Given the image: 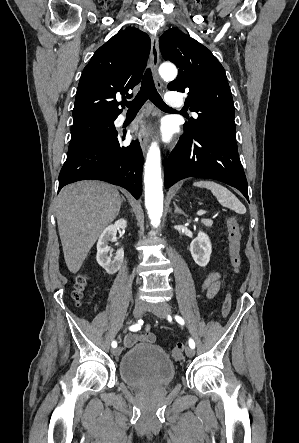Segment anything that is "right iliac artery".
<instances>
[{
  "label": "right iliac artery",
  "mask_w": 299,
  "mask_h": 443,
  "mask_svg": "<svg viewBox=\"0 0 299 443\" xmlns=\"http://www.w3.org/2000/svg\"><path fill=\"white\" fill-rule=\"evenodd\" d=\"M142 325H143V320L140 319V320H138V322L136 324L130 326L129 329L131 331H138V330L141 329ZM111 345H112L113 348H116L117 347V342L113 341Z\"/></svg>",
  "instance_id": "82829eb1"
}]
</instances>
